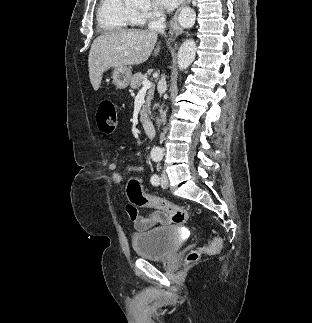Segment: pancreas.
<instances>
[{"label":"pancreas","instance_id":"obj_1","mask_svg":"<svg viewBox=\"0 0 312 323\" xmlns=\"http://www.w3.org/2000/svg\"><path fill=\"white\" fill-rule=\"evenodd\" d=\"M144 80H147V76H143L141 72H137V74H134V76H132L130 80V86L132 90H136V88H139V86H141ZM153 96H154V88H152V90H149L146 96L145 106H142V110L140 112L141 122H144V120H147V114H149L150 112L151 100H153Z\"/></svg>","mask_w":312,"mask_h":323}]
</instances>
